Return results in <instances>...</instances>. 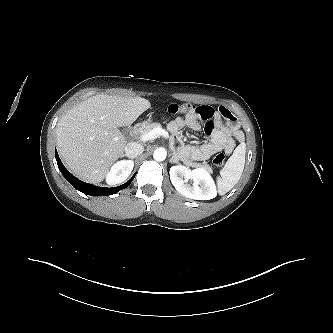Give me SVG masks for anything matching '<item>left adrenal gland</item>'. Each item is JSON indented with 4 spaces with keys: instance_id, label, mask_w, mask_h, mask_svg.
I'll use <instances>...</instances> for the list:
<instances>
[{
    "instance_id": "obj_1",
    "label": "left adrenal gland",
    "mask_w": 333,
    "mask_h": 333,
    "mask_svg": "<svg viewBox=\"0 0 333 333\" xmlns=\"http://www.w3.org/2000/svg\"><path fill=\"white\" fill-rule=\"evenodd\" d=\"M170 163H176V164H179V160H178V158L176 157L175 154H173V156L171 157V159H170Z\"/></svg>"
}]
</instances>
